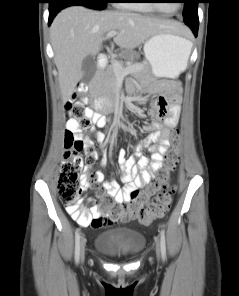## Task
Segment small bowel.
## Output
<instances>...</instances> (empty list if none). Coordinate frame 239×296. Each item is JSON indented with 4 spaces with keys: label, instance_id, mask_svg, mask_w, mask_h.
<instances>
[{
    "label": "small bowel",
    "instance_id": "c3829d8e",
    "mask_svg": "<svg viewBox=\"0 0 239 296\" xmlns=\"http://www.w3.org/2000/svg\"><path fill=\"white\" fill-rule=\"evenodd\" d=\"M169 91V106L164 97L157 98L151 106L149 115L154 117L155 120L151 124L144 126V130L150 134L146 140L135 146V155L126 158V154L123 150L118 154V163L122 172V179L125 183L124 187L121 188L118 182L114 179L104 182V187L107 193L118 203L132 200L134 193L138 191L139 188L147 185L151 181L152 175L163 167L164 156L170 147V133L176 128L180 114L179 84L171 83ZM87 116L96 123L101 118L99 114L94 113L91 110H87ZM67 126L76 136H81L75 121H69ZM93 134L98 140H102L103 135L101 132L93 130ZM86 142L91 143L90 140H86ZM143 147H149L151 152L150 158L141 155L140 151ZM97 175L100 182L104 181V173L101 170L97 171ZM81 182L82 190H86L90 187V183L86 177H83ZM68 213L72 216L69 211ZM88 213L90 215V220L80 221L76 219L80 225L91 226L93 228H100L106 225L105 218L98 221L102 215L97 207H91ZM72 218L74 217L72 216ZM131 219L133 218L129 214L122 217V220L124 221Z\"/></svg>",
    "mask_w": 239,
    "mask_h": 296
}]
</instances>
